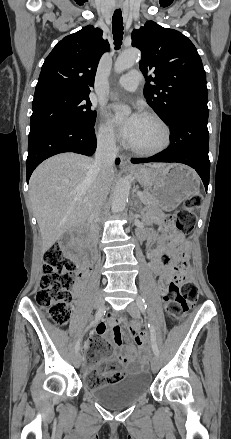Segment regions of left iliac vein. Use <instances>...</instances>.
Returning a JSON list of instances; mask_svg holds the SVG:
<instances>
[{
	"mask_svg": "<svg viewBox=\"0 0 231 439\" xmlns=\"http://www.w3.org/2000/svg\"><path fill=\"white\" fill-rule=\"evenodd\" d=\"M140 310L141 309L138 306L137 301L130 303L127 307V311L136 319L140 317ZM159 368H160V360L157 356H155L151 362V370L153 373H156L159 370Z\"/></svg>",
	"mask_w": 231,
	"mask_h": 439,
	"instance_id": "1",
	"label": "left iliac vein"
}]
</instances>
